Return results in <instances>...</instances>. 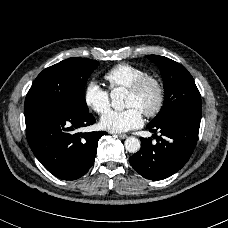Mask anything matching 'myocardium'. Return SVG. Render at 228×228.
I'll return each instance as SVG.
<instances>
[{
  "instance_id": "1",
  "label": "myocardium",
  "mask_w": 228,
  "mask_h": 228,
  "mask_svg": "<svg viewBox=\"0 0 228 228\" xmlns=\"http://www.w3.org/2000/svg\"><path fill=\"white\" fill-rule=\"evenodd\" d=\"M150 83H152L157 89V100L150 108L144 109L141 112L147 117H154L162 110L165 102V87L158 77L146 74L137 79L128 88V92L139 95Z\"/></svg>"
}]
</instances>
